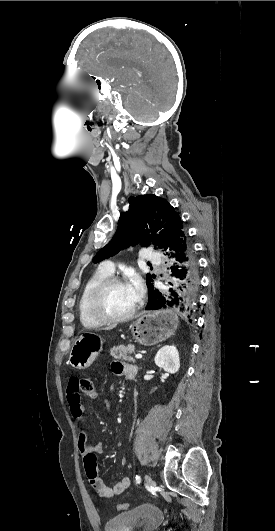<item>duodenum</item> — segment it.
<instances>
[{"mask_svg":"<svg viewBox=\"0 0 275 531\" xmlns=\"http://www.w3.org/2000/svg\"><path fill=\"white\" fill-rule=\"evenodd\" d=\"M134 376L133 375H128V378L129 379H132Z\"/></svg>","mask_w":275,"mask_h":531,"instance_id":"duodenum-1","label":"duodenum"}]
</instances>
